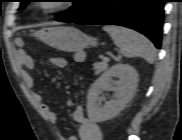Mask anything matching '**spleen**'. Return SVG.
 Returning a JSON list of instances; mask_svg holds the SVG:
<instances>
[{"label": "spleen", "instance_id": "1", "mask_svg": "<svg viewBox=\"0 0 182 140\" xmlns=\"http://www.w3.org/2000/svg\"><path fill=\"white\" fill-rule=\"evenodd\" d=\"M103 30L110 35L125 57H142L148 63H154L155 48L145 36L121 26L107 25Z\"/></svg>", "mask_w": 182, "mask_h": 140}]
</instances>
